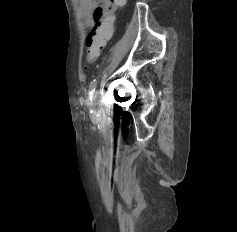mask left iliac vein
I'll return each instance as SVG.
<instances>
[{"label": "left iliac vein", "instance_id": "4c4485c4", "mask_svg": "<svg viewBox=\"0 0 237 232\" xmlns=\"http://www.w3.org/2000/svg\"><path fill=\"white\" fill-rule=\"evenodd\" d=\"M95 99H96V95L94 94L93 97H92L93 102L95 101Z\"/></svg>", "mask_w": 237, "mask_h": 232}]
</instances>
